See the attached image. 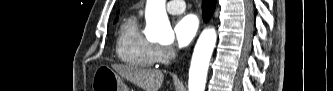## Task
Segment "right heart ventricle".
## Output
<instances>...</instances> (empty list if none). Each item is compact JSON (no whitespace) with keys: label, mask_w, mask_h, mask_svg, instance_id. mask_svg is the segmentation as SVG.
Here are the masks:
<instances>
[{"label":"right heart ventricle","mask_w":333,"mask_h":91,"mask_svg":"<svg viewBox=\"0 0 333 91\" xmlns=\"http://www.w3.org/2000/svg\"><path fill=\"white\" fill-rule=\"evenodd\" d=\"M116 51L119 59L131 67L150 68L156 63L155 45L141 34L138 21L133 16L120 24Z\"/></svg>","instance_id":"1"}]
</instances>
